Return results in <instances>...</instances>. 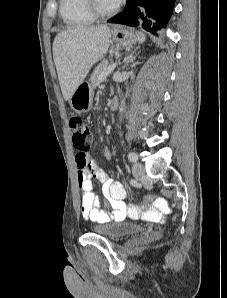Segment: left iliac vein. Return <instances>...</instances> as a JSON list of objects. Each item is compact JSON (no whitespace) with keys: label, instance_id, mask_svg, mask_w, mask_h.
Segmentation results:
<instances>
[{"label":"left iliac vein","instance_id":"4c4485c4","mask_svg":"<svg viewBox=\"0 0 227 298\" xmlns=\"http://www.w3.org/2000/svg\"><path fill=\"white\" fill-rule=\"evenodd\" d=\"M144 172H145V170H144V167L142 164H140L138 162L134 163L133 174L136 178L142 177L144 175Z\"/></svg>","mask_w":227,"mask_h":298}]
</instances>
